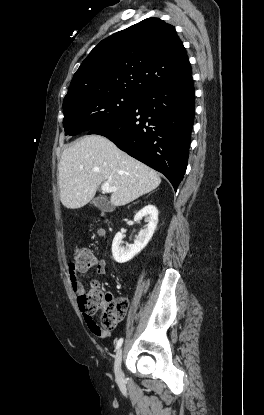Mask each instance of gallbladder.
<instances>
[{
  "instance_id": "gallbladder-1",
  "label": "gallbladder",
  "mask_w": 264,
  "mask_h": 415,
  "mask_svg": "<svg viewBox=\"0 0 264 415\" xmlns=\"http://www.w3.org/2000/svg\"><path fill=\"white\" fill-rule=\"evenodd\" d=\"M95 206L102 210H108L110 209L109 202H107L104 198L97 197L92 202Z\"/></svg>"
}]
</instances>
